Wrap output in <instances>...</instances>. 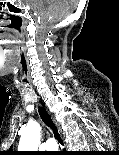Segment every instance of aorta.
Wrapping results in <instances>:
<instances>
[{"instance_id": "aorta-1", "label": "aorta", "mask_w": 119, "mask_h": 155, "mask_svg": "<svg viewBox=\"0 0 119 155\" xmlns=\"http://www.w3.org/2000/svg\"><path fill=\"white\" fill-rule=\"evenodd\" d=\"M41 128L37 122L28 123L21 136L19 147L20 151H36L40 142Z\"/></svg>"}]
</instances>
